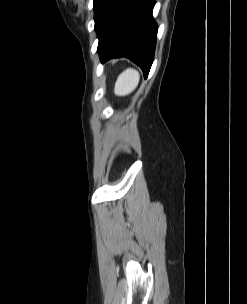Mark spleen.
<instances>
[{
  "instance_id": "obj_1",
  "label": "spleen",
  "mask_w": 247,
  "mask_h": 304,
  "mask_svg": "<svg viewBox=\"0 0 247 304\" xmlns=\"http://www.w3.org/2000/svg\"><path fill=\"white\" fill-rule=\"evenodd\" d=\"M140 80V75L137 70L128 68L123 71L117 78L114 93L118 96L130 94L136 89Z\"/></svg>"
}]
</instances>
